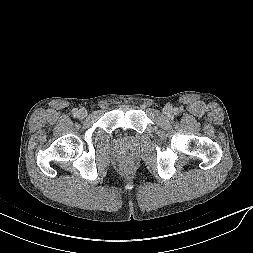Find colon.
<instances>
[{"label":"colon","mask_w":253,"mask_h":253,"mask_svg":"<svg viewBox=\"0 0 253 253\" xmlns=\"http://www.w3.org/2000/svg\"><path fill=\"white\" fill-rule=\"evenodd\" d=\"M121 169L123 173L127 174L131 171V166L129 164H124Z\"/></svg>","instance_id":"obj_1"}]
</instances>
